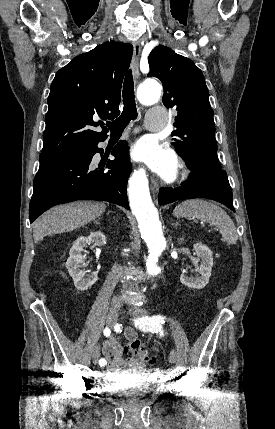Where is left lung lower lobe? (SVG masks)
Wrapping results in <instances>:
<instances>
[{
	"label": "left lung lower lobe",
	"instance_id": "0a47b994",
	"mask_svg": "<svg viewBox=\"0 0 275 429\" xmlns=\"http://www.w3.org/2000/svg\"><path fill=\"white\" fill-rule=\"evenodd\" d=\"M187 166L193 172L190 180L176 189L161 188L158 196L160 205L180 199L207 198L218 201L235 212L232 189L227 173L221 166L208 162Z\"/></svg>",
	"mask_w": 275,
	"mask_h": 429
}]
</instances>
